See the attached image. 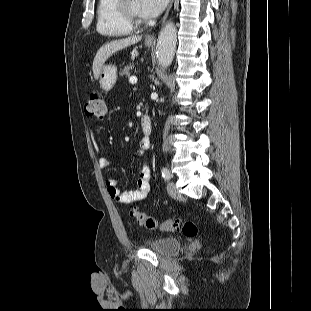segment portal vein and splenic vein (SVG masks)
Returning <instances> with one entry per match:
<instances>
[{"label":"portal vein and splenic vein","instance_id":"obj_1","mask_svg":"<svg viewBox=\"0 0 311 311\" xmlns=\"http://www.w3.org/2000/svg\"><path fill=\"white\" fill-rule=\"evenodd\" d=\"M129 82H130L131 84H136V83H137V77H135V76L130 77V78H129Z\"/></svg>","mask_w":311,"mask_h":311}]
</instances>
